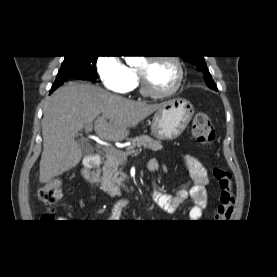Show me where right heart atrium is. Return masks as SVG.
I'll use <instances>...</instances> for the list:
<instances>
[{
    "label": "right heart atrium",
    "instance_id": "obj_1",
    "mask_svg": "<svg viewBox=\"0 0 277 277\" xmlns=\"http://www.w3.org/2000/svg\"><path fill=\"white\" fill-rule=\"evenodd\" d=\"M96 68L102 84L108 90L126 93L135 84L131 69L115 53L99 56Z\"/></svg>",
    "mask_w": 277,
    "mask_h": 277
}]
</instances>
